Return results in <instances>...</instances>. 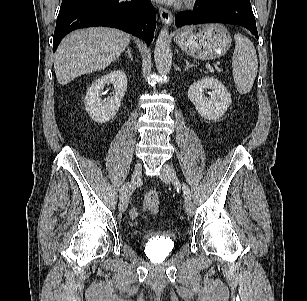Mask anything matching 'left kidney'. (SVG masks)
<instances>
[{
    "label": "left kidney",
    "instance_id": "obj_1",
    "mask_svg": "<svg viewBox=\"0 0 307 301\" xmlns=\"http://www.w3.org/2000/svg\"><path fill=\"white\" fill-rule=\"evenodd\" d=\"M210 90L211 98H206L204 92ZM188 97L204 119L216 120L222 117L231 104V95L224 84L213 77H203L194 82Z\"/></svg>",
    "mask_w": 307,
    "mask_h": 301
}]
</instances>
